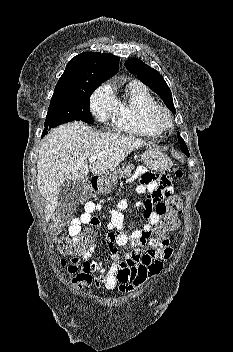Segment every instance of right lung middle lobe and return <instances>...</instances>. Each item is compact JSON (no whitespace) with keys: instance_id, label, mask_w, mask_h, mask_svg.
Masks as SVG:
<instances>
[{"instance_id":"dd1d6c3e","label":"right lung middle lobe","mask_w":233,"mask_h":352,"mask_svg":"<svg viewBox=\"0 0 233 352\" xmlns=\"http://www.w3.org/2000/svg\"><path fill=\"white\" fill-rule=\"evenodd\" d=\"M97 87L99 86L88 85L70 92L54 91L45 120L44 132L74 120L91 124L93 118L90 113V96Z\"/></svg>"}]
</instances>
